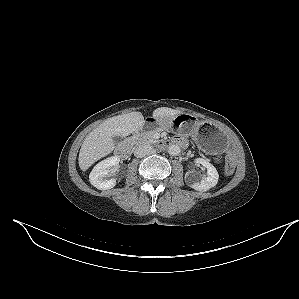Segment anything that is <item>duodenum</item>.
<instances>
[{
    "label": "duodenum",
    "mask_w": 299,
    "mask_h": 299,
    "mask_svg": "<svg viewBox=\"0 0 299 299\" xmlns=\"http://www.w3.org/2000/svg\"><path fill=\"white\" fill-rule=\"evenodd\" d=\"M184 143L185 142L182 139H178V138L170 140V141L163 140V141H160L159 147L165 148V147H169L173 144L183 146ZM131 150H132V146H131L130 142H124L117 147L116 154L120 158H127L130 155Z\"/></svg>",
    "instance_id": "410a0bca"
}]
</instances>
